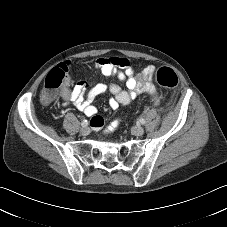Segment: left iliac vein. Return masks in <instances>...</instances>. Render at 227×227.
I'll return each mask as SVG.
<instances>
[{"instance_id": "left-iliac-vein-1", "label": "left iliac vein", "mask_w": 227, "mask_h": 227, "mask_svg": "<svg viewBox=\"0 0 227 227\" xmlns=\"http://www.w3.org/2000/svg\"><path fill=\"white\" fill-rule=\"evenodd\" d=\"M132 133L136 136H141L144 134V129L141 126H134L132 128Z\"/></svg>"}]
</instances>
